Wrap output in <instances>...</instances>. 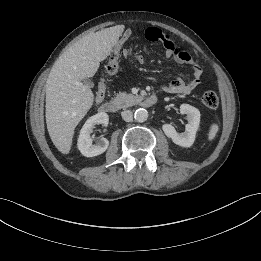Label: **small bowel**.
Listing matches in <instances>:
<instances>
[{"instance_id":"obj_1","label":"small bowel","mask_w":261,"mask_h":261,"mask_svg":"<svg viewBox=\"0 0 261 261\" xmlns=\"http://www.w3.org/2000/svg\"><path fill=\"white\" fill-rule=\"evenodd\" d=\"M144 36L148 41L160 42L165 48V55L168 58L174 59L177 63L188 64L193 67L192 79L188 82L180 77H176L163 88L165 92L176 94H190L200 82L202 69L196 64L194 58L186 51L180 50L174 41L166 35L162 30L156 27H148L144 31ZM125 50V53H128ZM105 97V90L96 94V102L100 103Z\"/></svg>"}]
</instances>
